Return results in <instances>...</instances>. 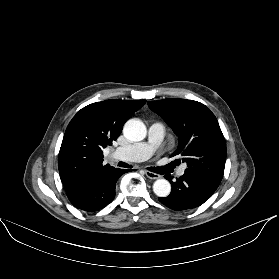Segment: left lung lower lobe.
Segmentation results:
<instances>
[{
    "mask_svg": "<svg viewBox=\"0 0 279 279\" xmlns=\"http://www.w3.org/2000/svg\"><path fill=\"white\" fill-rule=\"evenodd\" d=\"M164 177L171 182L172 191L167 197L159 198V201L173 210L198 207L208 200L217 189L204 179L188 173H184L176 181H172L171 175Z\"/></svg>",
    "mask_w": 279,
    "mask_h": 279,
    "instance_id": "1",
    "label": "left lung lower lobe"
}]
</instances>
